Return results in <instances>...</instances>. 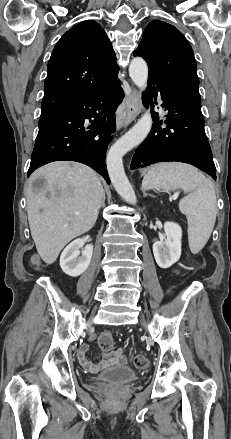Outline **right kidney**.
<instances>
[{
  "instance_id": "right-kidney-1",
  "label": "right kidney",
  "mask_w": 231,
  "mask_h": 439,
  "mask_svg": "<svg viewBox=\"0 0 231 439\" xmlns=\"http://www.w3.org/2000/svg\"><path fill=\"white\" fill-rule=\"evenodd\" d=\"M87 237L79 238L71 242L62 252L60 257V266L64 273L69 276L77 277L81 275L89 266L92 254L93 245L84 246Z\"/></svg>"
}]
</instances>
